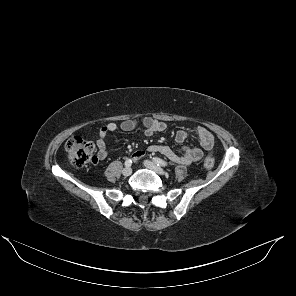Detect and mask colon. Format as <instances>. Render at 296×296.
I'll list each match as a JSON object with an SVG mask.
<instances>
[{"instance_id":"1","label":"colon","mask_w":296,"mask_h":296,"mask_svg":"<svg viewBox=\"0 0 296 296\" xmlns=\"http://www.w3.org/2000/svg\"><path fill=\"white\" fill-rule=\"evenodd\" d=\"M70 164L75 168H83L89 163H95L94 144L81 137L74 136L70 138L65 146ZM214 166L213 157H206L204 161L205 169L209 170Z\"/></svg>"}]
</instances>
